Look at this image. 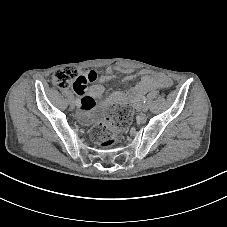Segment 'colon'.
Returning <instances> with one entry per match:
<instances>
[{"label": "colon", "mask_w": 227, "mask_h": 227, "mask_svg": "<svg viewBox=\"0 0 227 227\" xmlns=\"http://www.w3.org/2000/svg\"><path fill=\"white\" fill-rule=\"evenodd\" d=\"M79 80L80 74L73 67L61 68L54 75V81L60 88H66L70 83H75ZM131 118V106L129 103H125L116 109L111 117L103 120L92 128V140L102 148L113 147L119 139L120 130L129 125Z\"/></svg>", "instance_id": "obj_1"}]
</instances>
